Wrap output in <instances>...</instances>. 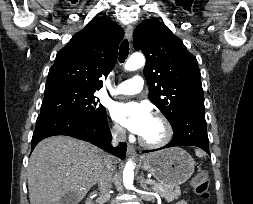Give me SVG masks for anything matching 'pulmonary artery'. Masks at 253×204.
Here are the masks:
<instances>
[{"instance_id":"e3ab8cb5","label":"pulmonary artery","mask_w":253,"mask_h":204,"mask_svg":"<svg viewBox=\"0 0 253 204\" xmlns=\"http://www.w3.org/2000/svg\"><path fill=\"white\" fill-rule=\"evenodd\" d=\"M144 85V79L140 75H135L131 79L120 83L114 90L115 95H134L139 93Z\"/></svg>"}]
</instances>
